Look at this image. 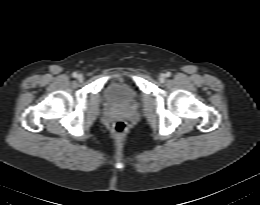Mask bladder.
<instances>
[{
	"instance_id": "bladder-1",
	"label": "bladder",
	"mask_w": 260,
	"mask_h": 205,
	"mask_svg": "<svg viewBox=\"0 0 260 205\" xmlns=\"http://www.w3.org/2000/svg\"><path fill=\"white\" fill-rule=\"evenodd\" d=\"M138 100V91L127 81L111 82L103 90V101L109 106H133Z\"/></svg>"
}]
</instances>
